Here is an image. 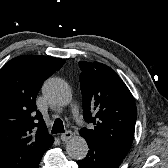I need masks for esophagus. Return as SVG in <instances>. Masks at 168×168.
Segmentation results:
<instances>
[{
  "label": "esophagus",
  "mask_w": 168,
  "mask_h": 168,
  "mask_svg": "<svg viewBox=\"0 0 168 168\" xmlns=\"http://www.w3.org/2000/svg\"><path fill=\"white\" fill-rule=\"evenodd\" d=\"M72 136L73 133L71 131H66L65 133L61 134V140L68 141L69 139H71Z\"/></svg>",
  "instance_id": "34e87169"
}]
</instances>
